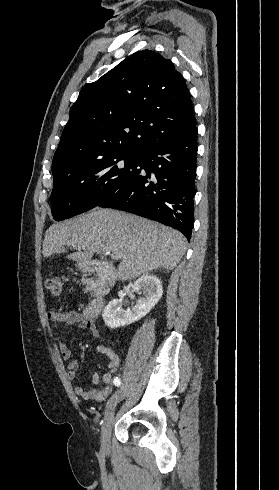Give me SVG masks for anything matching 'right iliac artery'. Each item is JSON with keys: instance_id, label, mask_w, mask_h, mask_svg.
<instances>
[{"instance_id": "right-iliac-artery-1", "label": "right iliac artery", "mask_w": 279, "mask_h": 490, "mask_svg": "<svg viewBox=\"0 0 279 490\" xmlns=\"http://www.w3.org/2000/svg\"><path fill=\"white\" fill-rule=\"evenodd\" d=\"M114 384H115L116 386H119V385L121 384V378H120L119 376H116V377L114 378Z\"/></svg>"}]
</instances>
